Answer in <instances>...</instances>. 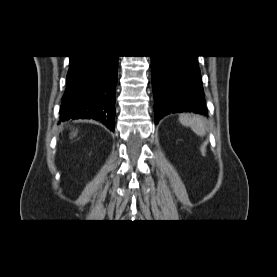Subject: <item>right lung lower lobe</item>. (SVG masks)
<instances>
[{
	"label": "right lung lower lobe",
	"instance_id": "obj_1",
	"mask_svg": "<svg viewBox=\"0 0 277 277\" xmlns=\"http://www.w3.org/2000/svg\"><path fill=\"white\" fill-rule=\"evenodd\" d=\"M118 57L70 56L60 121L95 119L114 130Z\"/></svg>",
	"mask_w": 277,
	"mask_h": 277
}]
</instances>
